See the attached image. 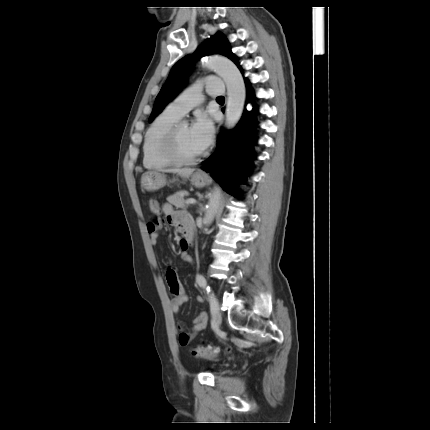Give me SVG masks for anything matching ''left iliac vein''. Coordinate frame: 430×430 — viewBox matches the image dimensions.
<instances>
[{
  "mask_svg": "<svg viewBox=\"0 0 430 430\" xmlns=\"http://www.w3.org/2000/svg\"><path fill=\"white\" fill-rule=\"evenodd\" d=\"M212 323L215 327H219L222 321L218 301L211 305Z\"/></svg>",
  "mask_w": 430,
  "mask_h": 430,
  "instance_id": "left-iliac-vein-1",
  "label": "left iliac vein"
}]
</instances>
